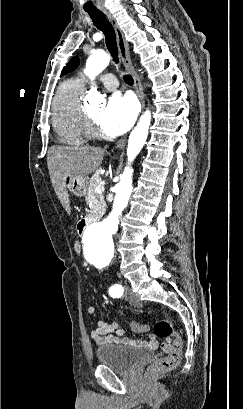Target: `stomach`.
Listing matches in <instances>:
<instances>
[{
    "label": "stomach",
    "instance_id": "obj_1",
    "mask_svg": "<svg viewBox=\"0 0 243 409\" xmlns=\"http://www.w3.org/2000/svg\"><path fill=\"white\" fill-rule=\"evenodd\" d=\"M64 186L78 197H83L87 193V178L85 176H66Z\"/></svg>",
    "mask_w": 243,
    "mask_h": 409
}]
</instances>
